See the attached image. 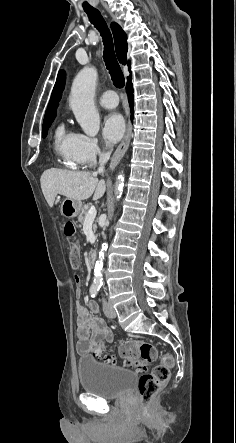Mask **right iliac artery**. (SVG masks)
<instances>
[{"label": "right iliac artery", "mask_w": 236, "mask_h": 443, "mask_svg": "<svg viewBox=\"0 0 236 443\" xmlns=\"http://www.w3.org/2000/svg\"><path fill=\"white\" fill-rule=\"evenodd\" d=\"M99 289H100V286L92 285L90 287V295H91V297H95L97 295Z\"/></svg>", "instance_id": "1"}]
</instances>
